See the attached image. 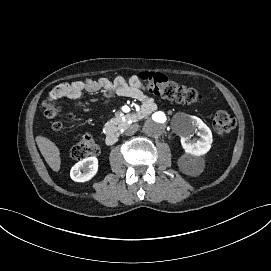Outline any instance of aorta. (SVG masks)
<instances>
[{"label":"aorta","mask_w":271,"mask_h":271,"mask_svg":"<svg viewBox=\"0 0 271 271\" xmlns=\"http://www.w3.org/2000/svg\"><path fill=\"white\" fill-rule=\"evenodd\" d=\"M167 125V115L162 111H154L148 114L143 130L148 136L159 137L166 131Z\"/></svg>","instance_id":"762f6f07"}]
</instances>
